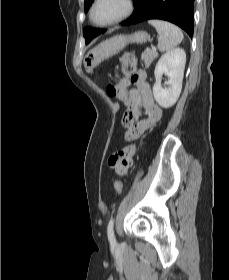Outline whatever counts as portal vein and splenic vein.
I'll return each instance as SVG.
<instances>
[{"instance_id":"1","label":"portal vein and splenic vein","mask_w":229,"mask_h":280,"mask_svg":"<svg viewBox=\"0 0 229 280\" xmlns=\"http://www.w3.org/2000/svg\"><path fill=\"white\" fill-rule=\"evenodd\" d=\"M152 50L156 51V47H155V46H152Z\"/></svg>"}]
</instances>
